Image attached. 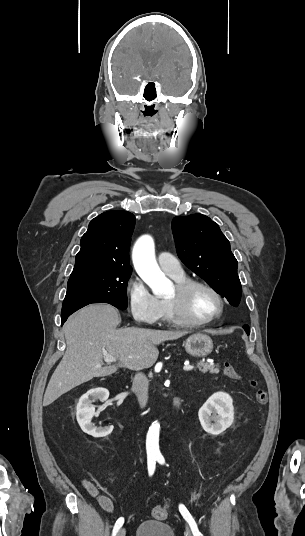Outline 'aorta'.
Returning <instances> with one entry per match:
<instances>
[{
  "label": "aorta",
  "instance_id": "obj_1",
  "mask_svg": "<svg viewBox=\"0 0 305 536\" xmlns=\"http://www.w3.org/2000/svg\"><path fill=\"white\" fill-rule=\"evenodd\" d=\"M132 259L136 272L151 288L154 295L162 296L171 289V281L157 264L155 245L151 236L144 235L137 240L133 248Z\"/></svg>",
  "mask_w": 305,
  "mask_h": 536
}]
</instances>
